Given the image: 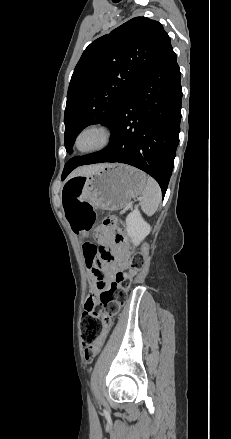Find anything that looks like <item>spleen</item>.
Returning a JSON list of instances; mask_svg holds the SVG:
<instances>
[{
	"instance_id": "spleen-1",
	"label": "spleen",
	"mask_w": 231,
	"mask_h": 439,
	"mask_svg": "<svg viewBox=\"0 0 231 439\" xmlns=\"http://www.w3.org/2000/svg\"><path fill=\"white\" fill-rule=\"evenodd\" d=\"M142 195L141 209L147 216H152L157 211L161 201L160 186L152 177H147V183Z\"/></svg>"
}]
</instances>
